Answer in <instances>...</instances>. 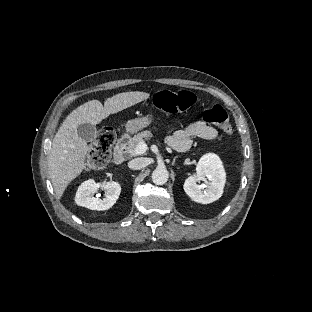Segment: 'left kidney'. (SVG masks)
I'll list each match as a JSON object with an SVG mask.
<instances>
[{
	"label": "left kidney",
	"instance_id": "1",
	"mask_svg": "<svg viewBox=\"0 0 312 312\" xmlns=\"http://www.w3.org/2000/svg\"><path fill=\"white\" fill-rule=\"evenodd\" d=\"M199 181H204V184L198 185ZM225 182L226 173L219 156L207 153L200 158L196 175L188 177L183 187L192 200L208 204L222 196Z\"/></svg>",
	"mask_w": 312,
	"mask_h": 312
}]
</instances>
